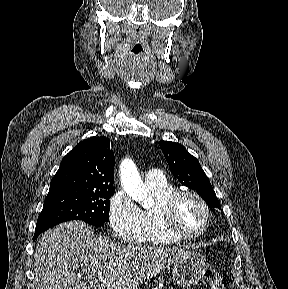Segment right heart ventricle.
Returning a JSON list of instances; mask_svg holds the SVG:
<instances>
[{
  "label": "right heart ventricle",
  "mask_w": 288,
  "mask_h": 289,
  "mask_svg": "<svg viewBox=\"0 0 288 289\" xmlns=\"http://www.w3.org/2000/svg\"><path fill=\"white\" fill-rule=\"evenodd\" d=\"M148 187L156 197V205L143 211L145 230L141 242L153 245H170L181 242V239L170 235L162 228L157 213L159 202L165 196L175 192L176 188L167 181L164 185Z\"/></svg>",
  "instance_id": "right-heart-ventricle-1"
}]
</instances>
